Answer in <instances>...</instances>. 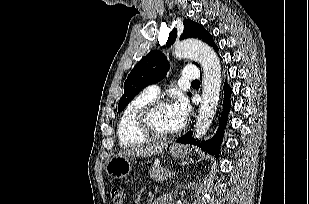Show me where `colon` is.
<instances>
[{
	"mask_svg": "<svg viewBox=\"0 0 309 204\" xmlns=\"http://www.w3.org/2000/svg\"><path fill=\"white\" fill-rule=\"evenodd\" d=\"M123 191L118 188H113L111 190V199L113 204H122L123 202Z\"/></svg>",
	"mask_w": 309,
	"mask_h": 204,
	"instance_id": "obj_1",
	"label": "colon"
}]
</instances>
